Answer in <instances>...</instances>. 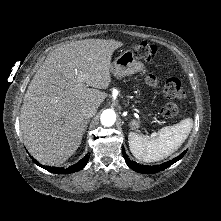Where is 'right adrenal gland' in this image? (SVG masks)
I'll return each mask as SVG.
<instances>
[{"instance_id":"right-adrenal-gland-1","label":"right adrenal gland","mask_w":221,"mask_h":221,"mask_svg":"<svg viewBox=\"0 0 221 221\" xmlns=\"http://www.w3.org/2000/svg\"><path fill=\"white\" fill-rule=\"evenodd\" d=\"M88 123H89V120H85V125H84L83 134L86 132L87 124H88Z\"/></svg>"}]
</instances>
